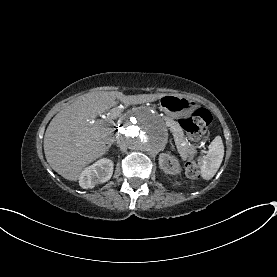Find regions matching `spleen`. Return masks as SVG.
<instances>
[{"label":"spleen","mask_w":277,"mask_h":277,"mask_svg":"<svg viewBox=\"0 0 277 277\" xmlns=\"http://www.w3.org/2000/svg\"><path fill=\"white\" fill-rule=\"evenodd\" d=\"M224 157V145L221 136H216L208 146V153L197 159L201 177L210 180L219 169Z\"/></svg>","instance_id":"spleen-1"}]
</instances>
